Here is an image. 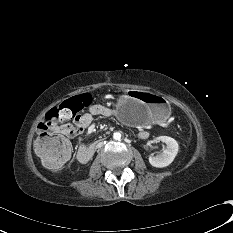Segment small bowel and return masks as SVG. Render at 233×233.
Returning a JSON list of instances; mask_svg holds the SVG:
<instances>
[{
	"instance_id": "1",
	"label": "small bowel",
	"mask_w": 233,
	"mask_h": 233,
	"mask_svg": "<svg viewBox=\"0 0 233 233\" xmlns=\"http://www.w3.org/2000/svg\"><path fill=\"white\" fill-rule=\"evenodd\" d=\"M113 112L110 108L106 107L101 103L92 105L85 113L69 119H58L53 122L51 131L54 133L62 134L69 138H75L81 135L84 130L91 124L95 117H111ZM138 137L145 139L148 137V131L140 129L137 133Z\"/></svg>"
}]
</instances>
